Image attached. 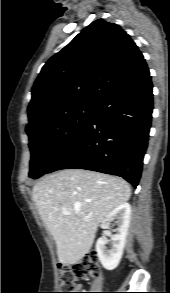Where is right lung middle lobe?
I'll return each instance as SVG.
<instances>
[{
    "label": "right lung middle lobe",
    "instance_id": "1",
    "mask_svg": "<svg viewBox=\"0 0 170 293\" xmlns=\"http://www.w3.org/2000/svg\"><path fill=\"white\" fill-rule=\"evenodd\" d=\"M97 108L98 105H79L26 129L31 151L29 177L36 179L48 172L93 122Z\"/></svg>",
    "mask_w": 170,
    "mask_h": 293
}]
</instances>
